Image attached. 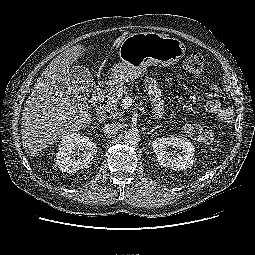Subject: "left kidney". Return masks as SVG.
Wrapping results in <instances>:
<instances>
[{"label": "left kidney", "instance_id": "1", "mask_svg": "<svg viewBox=\"0 0 255 255\" xmlns=\"http://www.w3.org/2000/svg\"><path fill=\"white\" fill-rule=\"evenodd\" d=\"M152 147L157 160L161 166L172 170H185L193 165L195 148L186 138H177L174 136L167 138H158L153 141ZM177 147L181 155L172 156L168 148Z\"/></svg>", "mask_w": 255, "mask_h": 255}]
</instances>
